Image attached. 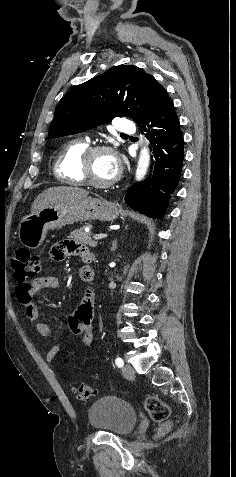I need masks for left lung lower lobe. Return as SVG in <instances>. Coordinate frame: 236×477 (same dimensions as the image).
Returning a JSON list of instances; mask_svg holds the SVG:
<instances>
[{
	"mask_svg": "<svg viewBox=\"0 0 236 477\" xmlns=\"http://www.w3.org/2000/svg\"><path fill=\"white\" fill-rule=\"evenodd\" d=\"M150 139L155 157L152 176L128 191L126 203L150 217L161 218L180 179L184 159L183 136L173 102L162 87L155 104L139 124Z\"/></svg>",
	"mask_w": 236,
	"mask_h": 477,
	"instance_id": "obj_1",
	"label": "left lung lower lobe"
}]
</instances>
